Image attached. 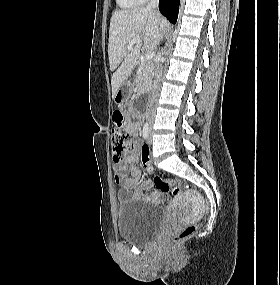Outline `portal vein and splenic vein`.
Segmentation results:
<instances>
[{"instance_id": "1", "label": "portal vein and splenic vein", "mask_w": 280, "mask_h": 285, "mask_svg": "<svg viewBox=\"0 0 280 285\" xmlns=\"http://www.w3.org/2000/svg\"><path fill=\"white\" fill-rule=\"evenodd\" d=\"M139 41H140V37H135V38H133V40L127 45V49H128L129 51L132 50L133 45H134L135 43L139 42ZM153 57H154V52H152V51H149V52H147V53L145 54V59H146L147 61H151V60L153 59Z\"/></svg>"}]
</instances>
